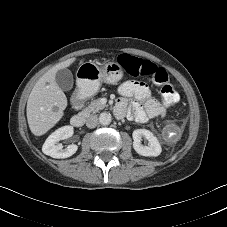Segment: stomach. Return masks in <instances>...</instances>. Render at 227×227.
Listing matches in <instances>:
<instances>
[{
  "label": "stomach",
  "mask_w": 227,
  "mask_h": 227,
  "mask_svg": "<svg viewBox=\"0 0 227 227\" xmlns=\"http://www.w3.org/2000/svg\"><path fill=\"white\" fill-rule=\"evenodd\" d=\"M77 75L79 92L91 97L98 92L102 82L113 84L120 81L123 71L117 62H107L102 67L92 62H85L78 68Z\"/></svg>",
  "instance_id": "1"
}]
</instances>
